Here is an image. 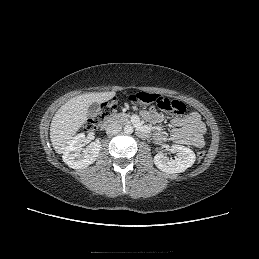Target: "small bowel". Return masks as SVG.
I'll return each mask as SVG.
<instances>
[{"label":"small bowel","mask_w":259,"mask_h":259,"mask_svg":"<svg viewBox=\"0 0 259 259\" xmlns=\"http://www.w3.org/2000/svg\"><path fill=\"white\" fill-rule=\"evenodd\" d=\"M141 117L150 123H159L163 116L155 108L144 109L140 112ZM172 129L169 134L159 130L154 133L158 142L170 140L174 143L191 145L197 148L204 146V134L206 126L197 112H190L184 117H174L171 120Z\"/></svg>","instance_id":"small-bowel-1"}]
</instances>
